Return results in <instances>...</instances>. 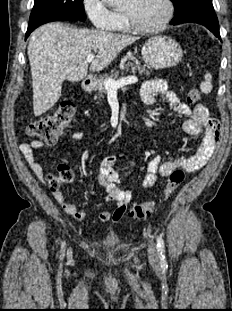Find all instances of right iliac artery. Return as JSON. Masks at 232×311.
<instances>
[{"mask_svg":"<svg viewBox=\"0 0 232 311\" xmlns=\"http://www.w3.org/2000/svg\"><path fill=\"white\" fill-rule=\"evenodd\" d=\"M64 247H65V242L62 243V250H61L62 251V255L64 253Z\"/></svg>","mask_w":232,"mask_h":311,"instance_id":"1","label":"right iliac artery"}]
</instances>
